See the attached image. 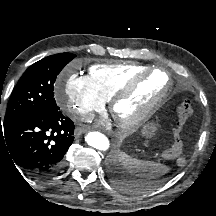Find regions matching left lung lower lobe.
I'll return each instance as SVG.
<instances>
[{
  "label": "left lung lower lobe",
  "instance_id": "obj_1",
  "mask_svg": "<svg viewBox=\"0 0 216 216\" xmlns=\"http://www.w3.org/2000/svg\"><path fill=\"white\" fill-rule=\"evenodd\" d=\"M112 172L114 181L118 186L128 191H138L140 186L138 183L130 178L119 165L118 162H114L112 165Z\"/></svg>",
  "mask_w": 216,
  "mask_h": 216
}]
</instances>
